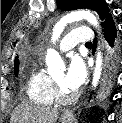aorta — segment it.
I'll list each match as a JSON object with an SVG mask.
<instances>
[{"mask_svg":"<svg viewBox=\"0 0 122 123\" xmlns=\"http://www.w3.org/2000/svg\"><path fill=\"white\" fill-rule=\"evenodd\" d=\"M81 19L87 20L91 25H93L96 29H100V25L98 23V20L96 16L91 13L88 10H78L71 12L70 14H67L66 16L62 17L55 25L54 32H53V41L58 39L64 29V27L68 23H72L75 21H79ZM102 53L101 51H98L95 68H94V74L92 79V87H96L99 79L101 77L102 72ZM46 65L48 72L52 73L57 69H62L64 67L63 61L61 59V56L58 52H56L53 49H48L46 54Z\"/></svg>","mask_w":122,"mask_h":123,"instance_id":"1","label":"aorta"}]
</instances>
